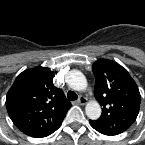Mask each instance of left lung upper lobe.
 <instances>
[{
	"mask_svg": "<svg viewBox=\"0 0 145 145\" xmlns=\"http://www.w3.org/2000/svg\"><path fill=\"white\" fill-rule=\"evenodd\" d=\"M92 71L96 78L94 95L103 108L101 117L90 120V124L105 135L121 134L137 118L141 102L139 89L128 71L112 60H97Z\"/></svg>",
	"mask_w": 145,
	"mask_h": 145,
	"instance_id": "5c2ea615",
	"label": "left lung upper lobe"
}]
</instances>
